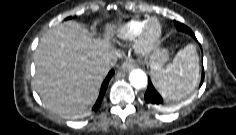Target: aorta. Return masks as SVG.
<instances>
[{"label": "aorta", "mask_w": 236, "mask_h": 135, "mask_svg": "<svg viewBox=\"0 0 236 135\" xmlns=\"http://www.w3.org/2000/svg\"><path fill=\"white\" fill-rule=\"evenodd\" d=\"M129 80L135 88L145 87L148 82L145 72L140 69L132 70L129 75Z\"/></svg>", "instance_id": "aorta-1"}]
</instances>
